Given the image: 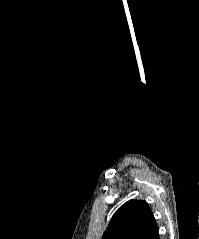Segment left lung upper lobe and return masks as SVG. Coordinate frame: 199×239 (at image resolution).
Instances as JSON below:
<instances>
[{
    "instance_id": "left-lung-upper-lobe-1",
    "label": "left lung upper lobe",
    "mask_w": 199,
    "mask_h": 239,
    "mask_svg": "<svg viewBox=\"0 0 199 239\" xmlns=\"http://www.w3.org/2000/svg\"><path fill=\"white\" fill-rule=\"evenodd\" d=\"M156 220L146 201L130 200L113 215L101 239H155Z\"/></svg>"
}]
</instances>
